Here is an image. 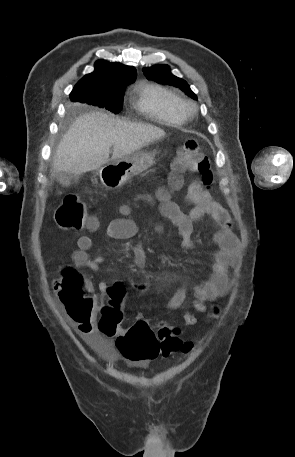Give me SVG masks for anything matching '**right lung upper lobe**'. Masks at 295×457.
<instances>
[{
	"instance_id": "1",
	"label": "right lung upper lobe",
	"mask_w": 295,
	"mask_h": 457,
	"mask_svg": "<svg viewBox=\"0 0 295 457\" xmlns=\"http://www.w3.org/2000/svg\"><path fill=\"white\" fill-rule=\"evenodd\" d=\"M94 72L85 75L75 87L93 90H116L126 87L136 78V69L105 60L96 61Z\"/></svg>"
}]
</instances>
